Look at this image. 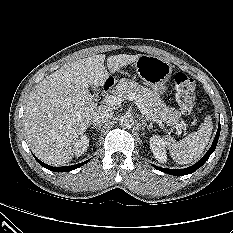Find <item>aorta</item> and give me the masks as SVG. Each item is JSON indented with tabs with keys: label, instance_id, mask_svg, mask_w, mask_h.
<instances>
[{
	"label": "aorta",
	"instance_id": "aorta-1",
	"mask_svg": "<svg viewBox=\"0 0 233 233\" xmlns=\"http://www.w3.org/2000/svg\"><path fill=\"white\" fill-rule=\"evenodd\" d=\"M119 124L124 129H130L134 125V119L130 115H124L120 117Z\"/></svg>",
	"mask_w": 233,
	"mask_h": 233
}]
</instances>
